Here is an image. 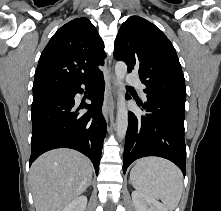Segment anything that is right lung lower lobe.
<instances>
[{
    "mask_svg": "<svg viewBox=\"0 0 221 211\" xmlns=\"http://www.w3.org/2000/svg\"><path fill=\"white\" fill-rule=\"evenodd\" d=\"M82 84L90 89L88 99L92 104L85 103L76 109L74 96L83 92ZM103 94L104 78L100 71L88 79L58 86L33 96L29 166L46 151L71 148L89 157L98 173L106 135V121L101 112ZM81 108L89 111L80 114L78 110Z\"/></svg>",
    "mask_w": 221,
    "mask_h": 211,
    "instance_id": "right-lung-lower-lobe-1",
    "label": "right lung lower lobe"
}]
</instances>
